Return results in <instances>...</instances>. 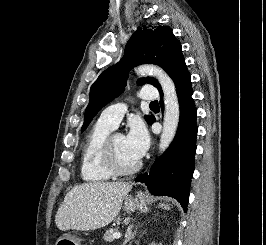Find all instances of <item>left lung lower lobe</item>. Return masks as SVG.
I'll use <instances>...</instances> for the list:
<instances>
[{"label":"left lung lower lobe","mask_w":266,"mask_h":245,"mask_svg":"<svg viewBox=\"0 0 266 245\" xmlns=\"http://www.w3.org/2000/svg\"><path fill=\"white\" fill-rule=\"evenodd\" d=\"M176 86L180 105V121L175 138L166 152L153 164L149 175L138 176L135 181L146 183L150 193L177 199L187 211L189 188L194 172L196 152V108L192 98L190 74L185 60H180L170 74ZM161 98L162 90L159 89ZM161 108L164 105L160 101ZM155 122L153 117L149 124Z\"/></svg>","instance_id":"obj_1"}]
</instances>
